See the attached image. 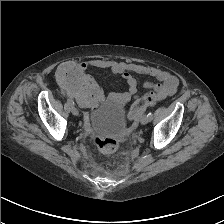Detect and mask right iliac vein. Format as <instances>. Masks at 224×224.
I'll use <instances>...</instances> for the list:
<instances>
[{
    "instance_id": "63e3f726",
    "label": "right iliac vein",
    "mask_w": 224,
    "mask_h": 224,
    "mask_svg": "<svg viewBox=\"0 0 224 224\" xmlns=\"http://www.w3.org/2000/svg\"><path fill=\"white\" fill-rule=\"evenodd\" d=\"M71 112H72V114H73L74 116H78V114H79L77 108L74 107V106L71 107Z\"/></svg>"
}]
</instances>
